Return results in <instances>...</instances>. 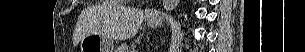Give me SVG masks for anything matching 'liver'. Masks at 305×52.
<instances>
[{
    "label": "liver",
    "instance_id": "1",
    "mask_svg": "<svg viewBox=\"0 0 305 52\" xmlns=\"http://www.w3.org/2000/svg\"><path fill=\"white\" fill-rule=\"evenodd\" d=\"M111 19L106 29L95 30L85 24L76 27V37L73 40L74 46H77L81 39L92 33H100L111 39L126 40L134 37L143 20L144 13L139 9L127 7L120 2H114L111 7Z\"/></svg>",
    "mask_w": 305,
    "mask_h": 52
}]
</instances>
